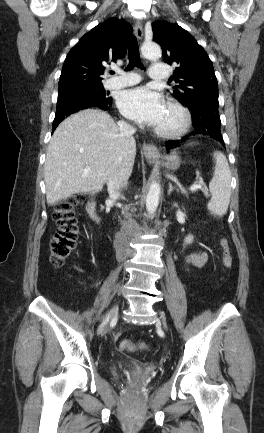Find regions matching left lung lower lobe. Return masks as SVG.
<instances>
[{
    "label": "left lung lower lobe",
    "mask_w": 264,
    "mask_h": 433,
    "mask_svg": "<svg viewBox=\"0 0 264 433\" xmlns=\"http://www.w3.org/2000/svg\"><path fill=\"white\" fill-rule=\"evenodd\" d=\"M217 104L212 103H198L190 108L193 118V126L195 131L190 135L201 134L209 136L224 145L223 137L221 135L220 126V116ZM189 135L182 138L185 140ZM180 140H171L166 142V148L172 149L176 146Z\"/></svg>",
    "instance_id": "left-lung-lower-lobe-1"
}]
</instances>
